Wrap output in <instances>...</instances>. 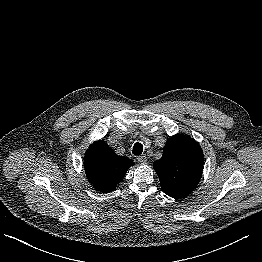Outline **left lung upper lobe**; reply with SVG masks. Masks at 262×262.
I'll use <instances>...</instances> for the list:
<instances>
[{
    "label": "left lung upper lobe",
    "instance_id": "5c2ea615",
    "mask_svg": "<svg viewBox=\"0 0 262 262\" xmlns=\"http://www.w3.org/2000/svg\"><path fill=\"white\" fill-rule=\"evenodd\" d=\"M165 194L184 198L196 188L203 171V151L193 139L176 134L169 138L162 158L154 162Z\"/></svg>",
    "mask_w": 262,
    "mask_h": 262
}]
</instances>
